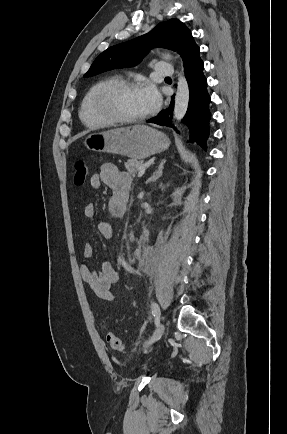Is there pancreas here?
Masks as SVG:
<instances>
[{"instance_id":"obj_1","label":"pancreas","mask_w":287,"mask_h":434,"mask_svg":"<svg viewBox=\"0 0 287 434\" xmlns=\"http://www.w3.org/2000/svg\"><path fill=\"white\" fill-rule=\"evenodd\" d=\"M143 166H144V164L141 161H137V160H134V159L128 160L125 163L126 170L132 176H135L138 173L139 169L141 167H143Z\"/></svg>"}]
</instances>
